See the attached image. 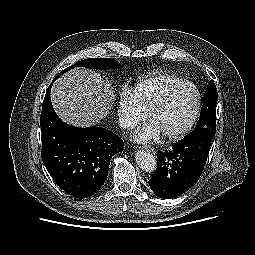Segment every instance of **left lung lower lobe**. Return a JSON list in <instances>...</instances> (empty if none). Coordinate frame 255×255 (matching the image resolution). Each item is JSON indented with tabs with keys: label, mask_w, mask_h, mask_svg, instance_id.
I'll use <instances>...</instances> for the list:
<instances>
[{
	"label": "left lung lower lobe",
	"mask_w": 255,
	"mask_h": 255,
	"mask_svg": "<svg viewBox=\"0 0 255 255\" xmlns=\"http://www.w3.org/2000/svg\"><path fill=\"white\" fill-rule=\"evenodd\" d=\"M215 133V128L193 131L170 151L158 153L157 169L149 180L154 194L172 199L190 189L202 174Z\"/></svg>",
	"instance_id": "left-lung-lower-lobe-1"
}]
</instances>
